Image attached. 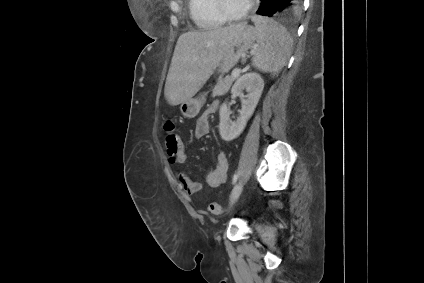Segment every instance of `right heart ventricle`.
Wrapping results in <instances>:
<instances>
[{"label":"right heart ventricle","mask_w":424,"mask_h":283,"mask_svg":"<svg viewBox=\"0 0 424 283\" xmlns=\"http://www.w3.org/2000/svg\"><path fill=\"white\" fill-rule=\"evenodd\" d=\"M190 17L202 30H212L223 26L226 20L220 15L216 0H188Z\"/></svg>","instance_id":"obj_1"}]
</instances>
